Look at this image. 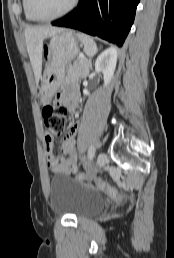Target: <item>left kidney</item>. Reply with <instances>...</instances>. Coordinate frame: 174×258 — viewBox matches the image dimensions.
<instances>
[{
    "mask_svg": "<svg viewBox=\"0 0 174 258\" xmlns=\"http://www.w3.org/2000/svg\"><path fill=\"white\" fill-rule=\"evenodd\" d=\"M117 57V48L110 47L103 51L96 59L95 70L103 73L105 86L110 83L113 77L117 64Z\"/></svg>",
    "mask_w": 174,
    "mask_h": 258,
    "instance_id": "obj_1",
    "label": "left kidney"
}]
</instances>
